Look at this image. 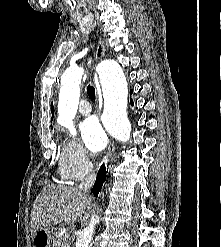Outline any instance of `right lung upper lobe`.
Here are the masks:
<instances>
[{
	"label": "right lung upper lobe",
	"instance_id": "obj_1",
	"mask_svg": "<svg viewBox=\"0 0 221 247\" xmlns=\"http://www.w3.org/2000/svg\"><path fill=\"white\" fill-rule=\"evenodd\" d=\"M51 113H52V115L54 114V112H53V104L51 105ZM52 119H53V116H52L51 120Z\"/></svg>",
	"mask_w": 221,
	"mask_h": 247
}]
</instances>
